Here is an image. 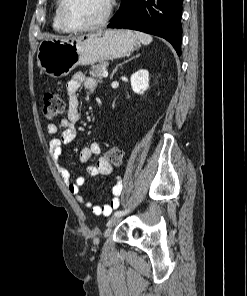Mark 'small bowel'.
<instances>
[{"instance_id": "c3829d8e", "label": "small bowel", "mask_w": 247, "mask_h": 296, "mask_svg": "<svg viewBox=\"0 0 247 296\" xmlns=\"http://www.w3.org/2000/svg\"><path fill=\"white\" fill-rule=\"evenodd\" d=\"M81 86H84L87 91L93 92L97 88V82L94 79L86 77L84 74L79 72L75 73L67 82V116L59 123H51L47 127L48 133L50 135H56L58 131L61 130L60 137H55L49 142V155L59 175L66 184L69 192L76 197L77 201L81 205L90 208L92 213L96 216H108L119 205V199L122 192L121 181H116L112 189V198L109 203L102 206L94 205L90 200L80 193V189L86 182V178L77 177L76 179H72L70 171L63 165L61 159L63 145L73 142L77 135L76 124L81 118L79 112L78 90ZM94 157H96L95 162L90 163L87 168L88 174L91 178H95L99 175H109L112 173V165L100 155V146L98 144L93 143L81 149L79 155L81 162L89 163Z\"/></svg>"}]
</instances>
